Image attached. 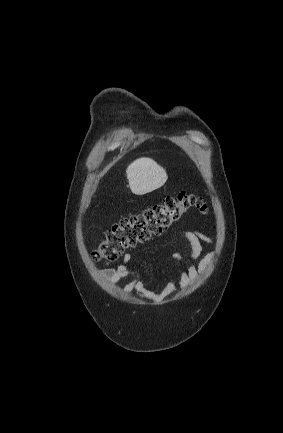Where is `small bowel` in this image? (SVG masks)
Here are the masks:
<instances>
[{
    "mask_svg": "<svg viewBox=\"0 0 283 433\" xmlns=\"http://www.w3.org/2000/svg\"><path fill=\"white\" fill-rule=\"evenodd\" d=\"M182 241L190 246L188 266L180 270L176 277L170 279L160 292L152 291L148 284L140 278L138 272L130 268L129 264L133 258L130 253L123 256L122 263L116 268L102 271L101 277L112 285L117 284L124 278L131 277L130 282L124 287L126 294H136L153 302H161L176 293L180 288H188L198 279L199 272L205 271L209 262L214 258L213 252L202 256L203 243L213 245V240L202 232L186 230L182 234ZM172 258L177 262L183 261V256L179 252H175Z\"/></svg>",
    "mask_w": 283,
    "mask_h": 433,
    "instance_id": "obj_1",
    "label": "small bowel"
}]
</instances>
